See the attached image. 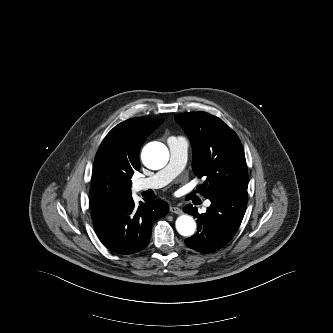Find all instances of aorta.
I'll use <instances>...</instances> for the list:
<instances>
[{
    "label": "aorta",
    "instance_id": "aorta-1",
    "mask_svg": "<svg viewBox=\"0 0 333 333\" xmlns=\"http://www.w3.org/2000/svg\"><path fill=\"white\" fill-rule=\"evenodd\" d=\"M143 164L152 170L163 168L169 160L167 147L160 142L147 144L141 154ZM176 229L182 236L189 237L195 233L196 223L189 215H181L176 220Z\"/></svg>",
    "mask_w": 333,
    "mask_h": 333
}]
</instances>
